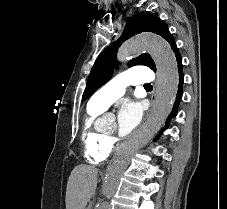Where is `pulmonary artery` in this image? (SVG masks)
<instances>
[{"instance_id":"1","label":"pulmonary artery","mask_w":227,"mask_h":209,"mask_svg":"<svg viewBox=\"0 0 227 209\" xmlns=\"http://www.w3.org/2000/svg\"><path fill=\"white\" fill-rule=\"evenodd\" d=\"M155 77L156 74L148 66H132L131 71L117 73L104 88H98L94 95H89L88 105L104 108L124 94L127 83H153Z\"/></svg>"}]
</instances>
